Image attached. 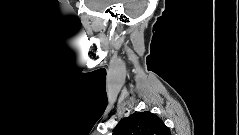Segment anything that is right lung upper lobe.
Segmentation results:
<instances>
[{
	"instance_id": "right-lung-upper-lobe-1",
	"label": "right lung upper lobe",
	"mask_w": 239,
	"mask_h": 135,
	"mask_svg": "<svg viewBox=\"0 0 239 135\" xmlns=\"http://www.w3.org/2000/svg\"><path fill=\"white\" fill-rule=\"evenodd\" d=\"M112 135H171L168 127L155 114L145 111L123 118Z\"/></svg>"
}]
</instances>
